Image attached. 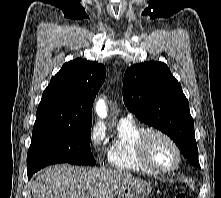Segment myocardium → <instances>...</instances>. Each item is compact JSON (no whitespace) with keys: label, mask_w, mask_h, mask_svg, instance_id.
Masks as SVG:
<instances>
[{"label":"myocardium","mask_w":221,"mask_h":198,"mask_svg":"<svg viewBox=\"0 0 221 198\" xmlns=\"http://www.w3.org/2000/svg\"><path fill=\"white\" fill-rule=\"evenodd\" d=\"M153 136H160L166 139L172 145L176 153V163L174 166L170 168H161L152 163L148 155V143ZM137 154L142 165L156 174L172 173L179 168L182 161V152L177 142L168 133L159 129H148L141 134L137 142Z\"/></svg>","instance_id":"1"}]
</instances>
